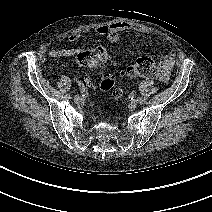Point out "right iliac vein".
I'll use <instances>...</instances> for the list:
<instances>
[{
  "label": "right iliac vein",
  "mask_w": 212,
  "mask_h": 212,
  "mask_svg": "<svg viewBox=\"0 0 212 212\" xmlns=\"http://www.w3.org/2000/svg\"><path fill=\"white\" fill-rule=\"evenodd\" d=\"M74 101L75 102H80L81 101V97L79 95H75L74 96Z\"/></svg>",
  "instance_id": "right-iliac-vein-1"
}]
</instances>
